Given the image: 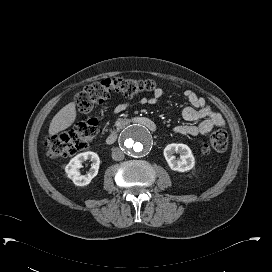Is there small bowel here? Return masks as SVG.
Listing matches in <instances>:
<instances>
[{
    "instance_id": "c3829d8e",
    "label": "small bowel",
    "mask_w": 272,
    "mask_h": 272,
    "mask_svg": "<svg viewBox=\"0 0 272 272\" xmlns=\"http://www.w3.org/2000/svg\"><path fill=\"white\" fill-rule=\"evenodd\" d=\"M189 102V106L183 108L181 114L184 120L191 122L190 125H180L175 127L174 132L179 135H197L206 134L214 128H222L225 121L220 113L212 110L203 97L198 96L191 90L184 93ZM162 96V90L157 89L150 97L142 98L141 104H157ZM131 106L130 102L119 104L115 111L121 112ZM195 122H198L195 124Z\"/></svg>"
}]
</instances>
